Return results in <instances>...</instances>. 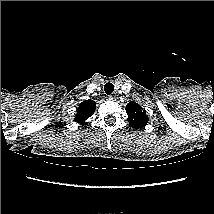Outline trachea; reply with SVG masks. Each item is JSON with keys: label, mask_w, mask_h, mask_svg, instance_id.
<instances>
[{"label": "trachea", "mask_w": 214, "mask_h": 214, "mask_svg": "<svg viewBox=\"0 0 214 214\" xmlns=\"http://www.w3.org/2000/svg\"><path fill=\"white\" fill-rule=\"evenodd\" d=\"M104 91L107 95H110L114 91V85L110 82L106 83L104 86Z\"/></svg>", "instance_id": "trachea-1"}]
</instances>
